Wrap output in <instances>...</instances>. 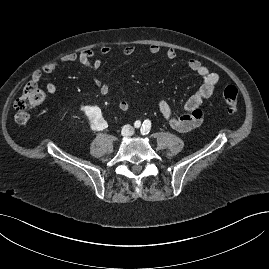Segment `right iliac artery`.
<instances>
[{"label": "right iliac artery", "instance_id": "1", "mask_svg": "<svg viewBox=\"0 0 269 269\" xmlns=\"http://www.w3.org/2000/svg\"><path fill=\"white\" fill-rule=\"evenodd\" d=\"M140 125H141V122L139 120L135 121V123H134L135 128H139Z\"/></svg>", "mask_w": 269, "mask_h": 269}]
</instances>
